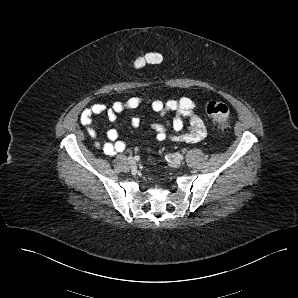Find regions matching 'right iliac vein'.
I'll return each mask as SVG.
<instances>
[{
    "instance_id": "1",
    "label": "right iliac vein",
    "mask_w": 298,
    "mask_h": 298,
    "mask_svg": "<svg viewBox=\"0 0 298 298\" xmlns=\"http://www.w3.org/2000/svg\"><path fill=\"white\" fill-rule=\"evenodd\" d=\"M128 162H129L130 165H135L136 164V160L133 157H129Z\"/></svg>"
}]
</instances>
